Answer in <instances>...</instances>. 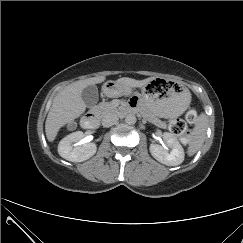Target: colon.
<instances>
[{
    "mask_svg": "<svg viewBox=\"0 0 243 243\" xmlns=\"http://www.w3.org/2000/svg\"><path fill=\"white\" fill-rule=\"evenodd\" d=\"M197 114L194 110H189L184 119H174L170 122V131L182 142L188 143L193 135L192 124L195 122Z\"/></svg>",
    "mask_w": 243,
    "mask_h": 243,
    "instance_id": "obj_1",
    "label": "colon"
}]
</instances>
